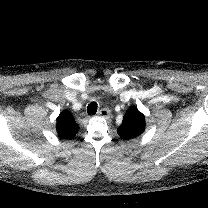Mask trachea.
Instances as JSON below:
<instances>
[{"label": "trachea", "mask_w": 208, "mask_h": 208, "mask_svg": "<svg viewBox=\"0 0 208 208\" xmlns=\"http://www.w3.org/2000/svg\"><path fill=\"white\" fill-rule=\"evenodd\" d=\"M97 103L96 102H91L88 106H87V113L88 115H95L97 112Z\"/></svg>", "instance_id": "trachea-1"}]
</instances>
